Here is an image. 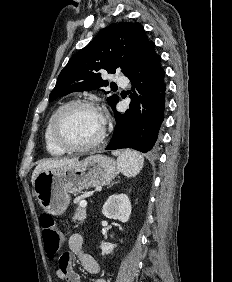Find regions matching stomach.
<instances>
[{"mask_svg":"<svg viewBox=\"0 0 232 282\" xmlns=\"http://www.w3.org/2000/svg\"><path fill=\"white\" fill-rule=\"evenodd\" d=\"M119 171L113 159L91 155L73 165L42 171L34 181V192L44 211L61 215L70 203L69 193L107 185Z\"/></svg>","mask_w":232,"mask_h":282,"instance_id":"1","label":"stomach"}]
</instances>
